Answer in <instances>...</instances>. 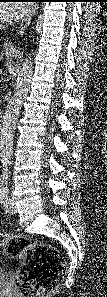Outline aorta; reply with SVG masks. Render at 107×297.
I'll return each mask as SVG.
<instances>
[{
    "label": "aorta",
    "instance_id": "aorta-1",
    "mask_svg": "<svg viewBox=\"0 0 107 297\" xmlns=\"http://www.w3.org/2000/svg\"><path fill=\"white\" fill-rule=\"evenodd\" d=\"M33 74L32 55L28 54L20 66L16 88L9 100L0 127V157L1 163L7 164L13 153V138L23 101L27 96Z\"/></svg>",
    "mask_w": 107,
    "mask_h": 297
}]
</instances>
